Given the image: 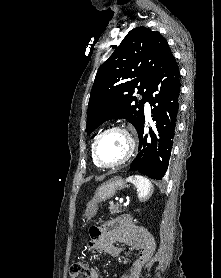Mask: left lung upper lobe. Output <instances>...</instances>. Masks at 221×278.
Listing matches in <instances>:
<instances>
[{
	"label": "left lung upper lobe",
	"mask_w": 221,
	"mask_h": 278,
	"mask_svg": "<svg viewBox=\"0 0 221 278\" xmlns=\"http://www.w3.org/2000/svg\"><path fill=\"white\" fill-rule=\"evenodd\" d=\"M172 57L159 32L145 27L132 29L98 69L88 104L86 132L90 134L113 118H126L137 129L144 117L146 96ZM135 91L143 96L139 102L132 96Z\"/></svg>",
	"instance_id": "obj_1"
}]
</instances>
